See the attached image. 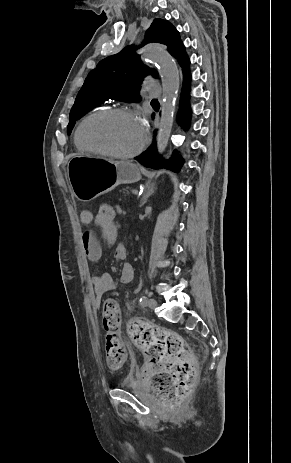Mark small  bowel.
<instances>
[{"mask_svg": "<svg viewBox=\"0 0 291 463\" xmlns=\"http://www.w3.org/2000/svg\"><path fill=\"white\" fill-rule=\"evenodd\" d=\"M80 220L82 224L90 226L95 224L101 228V233L103 239L108 244H114L118 235V226L115 223L114 226H104L101 227L98 225V220L96 215L90 210H83L80 214ZM81 242L83 250L87 258L93 263H98L101 258V248L100 244L95 237L94 233L91 230H86L82 233ZM114 256L118 259H125L128 256V250L125 245L119 244L115 247ZM134 278V269L133 266L126 262L123 264L120 273V282L123 284L130 283ZM91 283L93 286L94 294L97 299L101 298L104 294L113 291L117 287L116 281L108 273H103L100 275H94L91 277Z\"/></svg>", "mask_w": 291, "mask_h": 463, "instance_id": "obj_1", "label": "small bowel"}]
</instances>
